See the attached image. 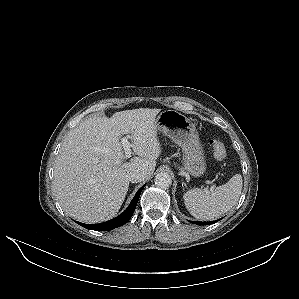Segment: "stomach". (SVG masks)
Masks as SVG:
<instances>
[{"label":"stomach","mask_w":299,"mask_h":299,"mask_svg":"<svg viewBox=\"0 0 299 299\" xmlns=\"http://www.w3.org/2000/svg\"><path fill=\"white\" fill-rule=\"evenodd\" d=\"M156 132H161L179 145L183 151L182 170L193 177L206 171L204 150L195 125L176 110H164L155 120Z\"/></svg>","instance_id":"stomach-1"}]
</instances>
